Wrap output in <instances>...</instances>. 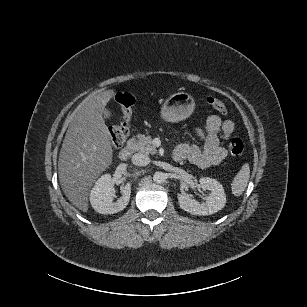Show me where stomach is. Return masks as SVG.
Masks as SVG:
<instances>
[{
	"instance_id": "0dacf381",
	"label": "stomach",
	"mask_w": 307,
	"mask_h": 307,
	"mask_svg": "<svg viewBox=\"0 0 307 307\" xmlns=\"http://www.w3.org/2000/svg\"><path fill=\"white\" fill-rule=\"evenodd\" d=\"M194 101L187 93H176L170 96L162 107L164 119L172 122L187 118L193 111Z\"/></svg>"
}]
</instances>
